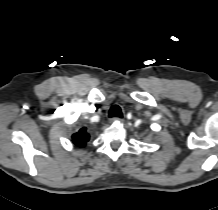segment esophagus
<instances>
[{
	"label": "esophagus",
	"instance_id": "obj_1",
	"mask_svg": "<svg viewBox=\"0 0 218 210\" xmlns=\"http://www.w3.org/2000/svg\"><path fill=\"white\" fill-rule=\"evenodd\" d=\"M112 121H119V122H122L123 119H122V118H119V117H115V118L112 119Z\"/></svg>",
	"mask_w": 218,
	"mask_h": 210
}]
</instances>
